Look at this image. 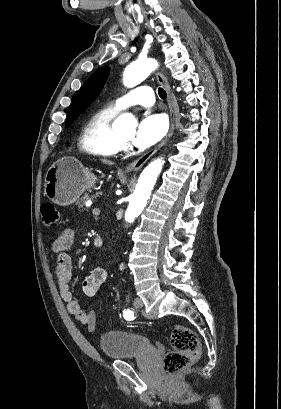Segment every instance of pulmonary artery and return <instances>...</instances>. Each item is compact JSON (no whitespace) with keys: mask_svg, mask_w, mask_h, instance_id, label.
I'll return each mask as SVG.
<instances>
[{"mask_svg":"<svg viewBox=\"0 0 281 409\" xmlns=\"http://www.w3.org/2000/svg\"><path fill=\"white\" fill-rule=\"evenodd\" d=\"M126 97H120L118 102H115V111H126L127 106L151 107L153 105L154 91L142 90L140 86H135L133 91H127Z\"/></svg>","mask_w":281,"mask_h":409,"instance_id":"pulmonary-artery-1","label":"pulmonary artery"}]
</instances>
